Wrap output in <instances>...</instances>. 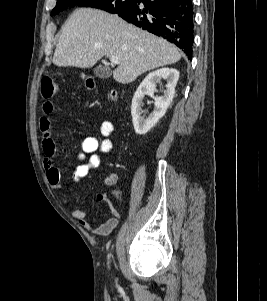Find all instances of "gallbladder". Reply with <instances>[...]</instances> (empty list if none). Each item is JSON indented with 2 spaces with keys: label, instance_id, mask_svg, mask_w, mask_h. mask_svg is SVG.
<instances>
[{
  "label": "gallbladder",
  "instance_id": "1",
  "mask_svg": "<svg viewBox=\"0 0 267 301\" xmlns=\"http://www.w3.org/2000/svg\"><path fill=\"white\" fill-rule=\"evenodd\" d=\"M93 72L95 77L100 79H106L111 76V70L108 67L102 65L96 67Z\"/></svg>",
  "mask_w": 267,
  "mask_h": 301
}]
</instances>
